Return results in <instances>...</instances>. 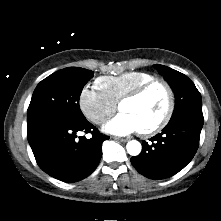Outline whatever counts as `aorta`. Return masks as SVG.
I'll list each match as a JSON object with an SVG mask.
<instances>
[{"mask_svg":"<svg viewBox=\"0 0 221 221\" xmlns=\"http://www.w3.org/2000/svg\"><path fill=\"white\" fill-rule=\"evenodd\" d=\"M126 149L131 156H137L140 154L142 146L137 140H131L127 143Z\"/></svg>","mask_w":221,"mask_h":221,"instance_id":"obj_1","label":"aorta"}]
</instances>
